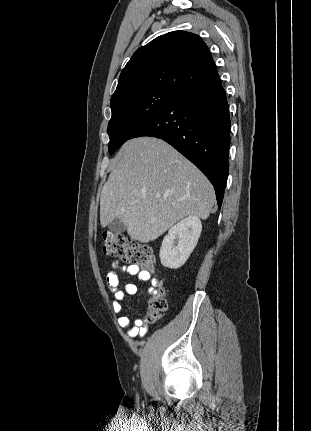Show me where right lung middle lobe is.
Returning a JSON list of instances; mask_svg holds the SVG:
<instances>
[{"label":"right lung middle lobe","mask_w":311,"mask_h":431,"mask_svg":"<svg viewBox=\"0 0 311 431\" xmlns=\"http://www.w3.org/2000/svg\"><path fill=\"white\" fill-rule=\"evenodd\" d=\"M179 95L158 89H142L112 97V117L108 124L109 153L113 154L141 124Z\"/></svg>","instance_id":"right-lung-middle-lobe-1"}]
</instances>
